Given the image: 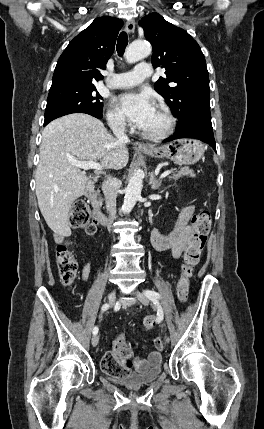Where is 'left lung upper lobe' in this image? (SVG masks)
I'll return each instance as SVG.
<instances>
[{
  "label": "left lung upper lobe",
  "instance_id": "left-lung-upper-lobe-1",
  "mask_svg": "<svg viewBox=\"0 0 264 429\" xmlns=\"http://www.w3.org/2000/svg\"><path fill=\"white\" fill-rule=\"evenodd\" d=\"M139 24L153 46V66L166 70V77H160L154 88L178 118V125H185L199 111H210L209 75L197 42L158 13L143 17Z\"/></svg>",
  "mask_w": 264,
  "mask_h": 429
}]
</instances>
